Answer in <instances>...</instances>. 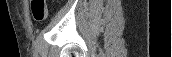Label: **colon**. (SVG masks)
I'll return each mask as SVG.
<instances>
[{"instance_id": "1", "label": "colon", "mask_w": 172, "mask_h": 57, "mask_svg": "<svg viewBox=\"0 0 172 57\" xmlns=\"http://www.w3.org/2000/svg\"><path fill=\"white\" fill-rule=\"evenodd\" d=\"M45 0H31V13L35 21L41 22L47 17Z\"/></svg>"}]
</instances>
